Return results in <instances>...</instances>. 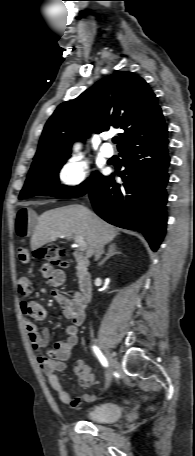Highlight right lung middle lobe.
<instances>
[{"mask_svg": "<svg viewBox=\"0 0 195 456\" xmlns=\"http://www.w3.org/2000/svg\"><path fill=\"white\" fill-rule=\"evenodd\" d=\"M67 158L49 160L31 166L19 199L36 195H47L57 198H76L86 194L103 176L95 172L92 177L75 187L59 184V170Z\"/></svg>", "mask_w": 195, "mask_h": 456, "instance_id": "right-lung-middle-lobe-1", "label": "right lung middle lobe"}]
</instances>
